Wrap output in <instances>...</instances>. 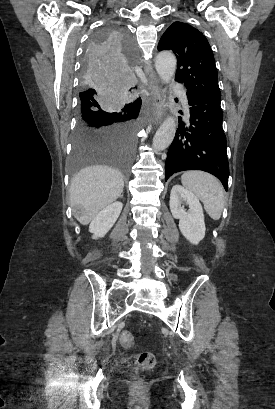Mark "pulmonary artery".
Wrapping results in <instances>:
<instances>
[{
	"instance_id": "obj_1",
	"label": "pulmonary artery",
	"mask_w": 275,
	"mask_h": 409,
	"mask_svg": "<svg viewBox=\"0 0 275 409\" xmlns=\"http://www.w3.org/2000/svg\"><path fill=\"white\" fill-rule=\"evenodd\" d=\"M181 101H182V103H183V106H184L186 112H188V109H189L188 99H187V97H186L185 94H182V95H181Z\"/></svg>"
}]
</instances>
